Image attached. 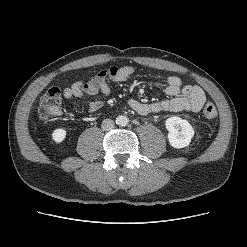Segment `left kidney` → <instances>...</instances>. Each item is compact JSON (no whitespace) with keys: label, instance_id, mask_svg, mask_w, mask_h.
Wrapping results in <instances>:
<instances>
[{"label":"left kidney","instance_id":"5707ae66","mask_svg":"<svg viewBox=\"0 0 247 247\" xmlns=\"http://www.w3.org/2000/svg\"><path fill=\"white\" fill-rule=\"evenodd\" d=\"M168 130V140L174 148H184L188 146L194 137V129L191 124L180 117L173 116L166 120Z\"/></svg>","mask_w":247,"mask_h":247}]
</instances>
